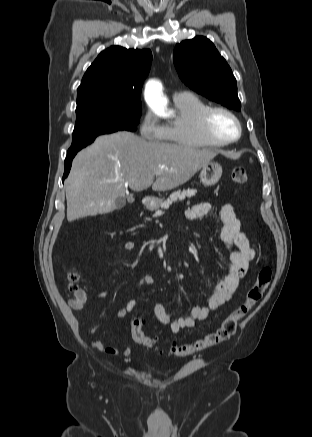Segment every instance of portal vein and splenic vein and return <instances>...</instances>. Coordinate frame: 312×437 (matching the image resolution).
<instances>
[{
    "mask_svg": "<svg viewBox=\"0 0 312 437\" xmlns=\"http://www.w3.org/2000/svg\"><path fill=\"white\" fill-rule=\"evenodd\" d=\"M160 174V172H158L156 175H159Z\"/></svg>",
    "mask_w": 312,
    "mask_h": 437,
    "instance_id": "portal-vein-and-splenic-vein-1",
    "label": "portal vein and splenic vein"
}]
</instances>
